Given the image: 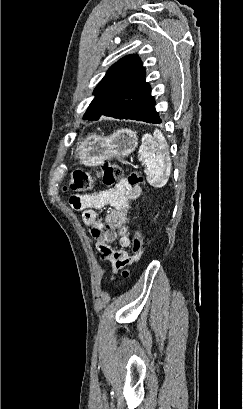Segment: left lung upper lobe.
Segmentation results:
<instances>
[{
    "label": "left lung upper lobe",
    "mask_w": 243,
    "mask_h": 409,
    "mask_svg": "<svg viewBox=\"0 0 243 409\" xmlns=\"http://www.w3.org/2000/svg\"><path fill=\"white\" fill-rule=\"evenodd\" d=\"M150 93L141 60L137 55H128L107 71L83 118L97 120L105 112L121 115L128 105L142 101Z\"/></svg>",
    "instance_id": "5c2ea615"
}]
</instances>
